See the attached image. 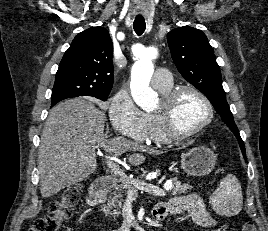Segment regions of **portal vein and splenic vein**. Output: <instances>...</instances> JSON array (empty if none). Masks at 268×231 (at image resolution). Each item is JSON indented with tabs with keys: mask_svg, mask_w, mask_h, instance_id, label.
<instances>
[{
	"mask_svg": "<svg viewBox=\"0 0 268 231\" xmlns=\"http://www.w3.org/2000/svg\"><path fill=\"white\" fill-rule=\"evenodd\" d=\"M105 163L116 176H118L122 181L129 183L128 188L130 192H136L137 190H140L156 196H165V191L157 185L129 179L124 170L121 169L120 166L113 161V157H106Z\"/></svg>",
	"mask_w": 268,
	"mask_h": 231,
	"instance_id": "portal-vein-and-splenic-vein-1",
	"label": "portal vein and splenic vein"
}]
</instances>
